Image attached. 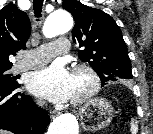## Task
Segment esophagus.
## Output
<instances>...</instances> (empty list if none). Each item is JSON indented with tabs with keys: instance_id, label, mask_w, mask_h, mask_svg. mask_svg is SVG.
I'll use <instances>...</instances> for the list:
<instances>
[{
	"instance_id": "1",
	"label": "esophagus",
	"mask_w": 153,
	"mask_h": 134,
	"mask_svg": "<svg viewBox=\"0 0 153 134\" xmlns=\"http://www.w3.org/2000/svg\"><path fill=\"white\" fill-rule=\"evenodd\" d=\"M54 116H55V112H52V113H51V117H54Z\"/></svg>"
}]
</instances>
